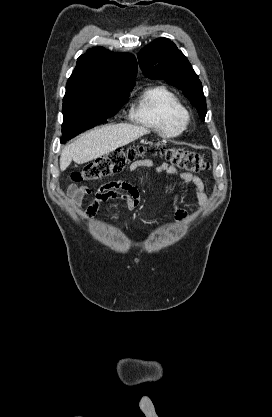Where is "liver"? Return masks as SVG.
<instances>
[{
  "label": "liver",
  "instance_id": "obj_1",
  "mask_svg": "<svg viewBox=\"0 0 272 417\" xmlns=\"http://www.w3.org/2000/svg\"><path fill=\"white\" fill-rule=\"evenodd\" d=\"M148 133L145 127L125 123L91 130L62 149L60 170L65 171L72 160L77 164L92 161Z\"/></svg>",
  "mask_w": 272,
  "mask_h": 417
}]
</instances>
